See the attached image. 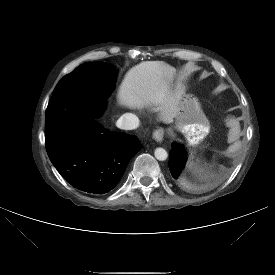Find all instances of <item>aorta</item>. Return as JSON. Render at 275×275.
<instances>
[{"mask_svg": "<svg viewBox=\"0 0 275 275\" xmlns=\"http://www.w3.org/2000/svg\"><path fill=\"white\" fill-rule=\"evenodd\" d=\"M154 155L159 161H164L168 157L167 151L164 148H156L154 151Z\"/></svg>", "mask_w": 275, "mask_h": 275, "instance_id": "1", "label": "aorta"}]
</instances>
